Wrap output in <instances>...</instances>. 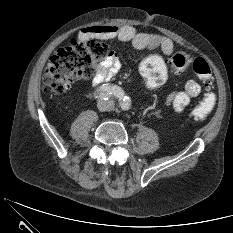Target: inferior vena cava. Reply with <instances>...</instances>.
Listing matches in <instances>:
<instances>
[{
	"instance_id": "inferior-vena-cava-1",
	"label": "inferior vena cava",
	"mask_w": 233,
	"mask_h": 233,
	"mask_svg": "<svg viewBox=\"0 0 233 233\" xmlns=\"http://www.w3.org/2000/svg\"><path fill=\"white\" fill-rule=\"evenodd\" d=\"M115 103L113 100L103 101V110L112 111L114 109Z\"/></svg>"
}]
</instances>
